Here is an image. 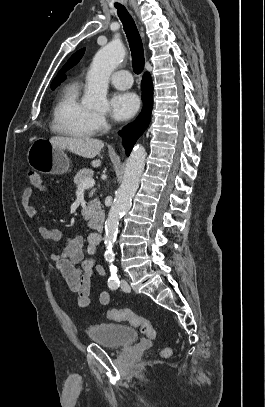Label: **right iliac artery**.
<instances>
[{
    "label": "right iliac artery",
    "instance_id": "right-iliac-artery-1",
    "mask_svg": "<svg viewBox=\"0 0 265 407\" xmlns=\"http://www.w3.org/2000/svg\"><path fill=\"white\" fill-rule=\"evenodd\" d=\"M119 285H120V281L117 277H111L108 280V286L112 290H116L119 287Z\"/></svg>",
    "mask_w": 265,
    "mask_h": 407
}]
</instances>
